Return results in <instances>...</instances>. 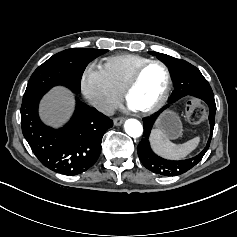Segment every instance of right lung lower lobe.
Segmentation results:
<instances>
[{"instance_id": "right-lung-lower-lobe-1", "label": "right lung lower lobe", "mask_w": 237, "mask_h": 237, "mask_svg": "<svg viewBox=\"0 0 237 237\" xmlns=\"http://www.w3.org/2000/svg\"><path fill=\"white\" fill-rule=\"evenodd\" d=\"M41 97L21 107L22 132L32 151L44 166L57 173L72 176L85 172L97 161L102 137L113 121L76 99L70 122L55 130L38 116Z\"/></svg>"}]
</instances>
